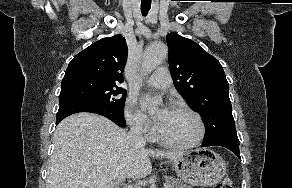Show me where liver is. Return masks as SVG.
Instances as JSON below:
<instances>
[{
    "mask_svg": "<svg viewBox=\"0 0 292 188\" xmlns=\"http://www.w3.org/2000/svg\"><path fill=\"white\" fill-rule=\"evenodd\" d=\"M46 188H112L113 179H141L150 157L177 159L182 152L157 151L131 143L125 130L92 113L73 114L54 132Z\"/></svg>",
    "mask_w": 292,
    "mask_h": 188,
    "instance_id": "liver-1",
    "label": "liver"
}]
</instances>
